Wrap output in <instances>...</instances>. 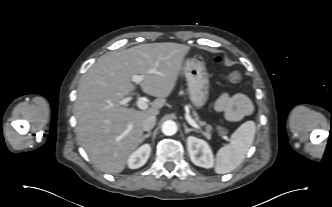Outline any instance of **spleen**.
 I'll use <instances>...</instances> for the list:
<instances>
[{
  "label": "spleen",
  "mask_w": 332,
  "mask_h": 207,
  "mask_svg": "<svg viewBox=\"0 0 332 207\" xmlns=\"http://www.w3.org/2000/svg\"><path fill=\"white\" fill-rule=\"evenodd\" d=\"M255 135V123H243L232 135L230 143L217 152L215 172L225 174L233 171L244 160Z\"/></svg>",
  "instance_id": "1"
}]
</instances>
